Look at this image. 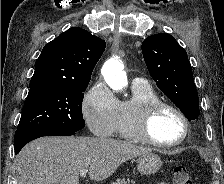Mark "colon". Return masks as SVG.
I'll return each instance as SVG.
<instances>
[{
  "label": "colon",
  "instance_id": "obj_1",
  "mask_svg": "<svg viewBox=\"0 0 224 184\" xmlns=\"http://www.w3.org/2000/svg\"><path fill=\"white\" fill-rule=\"evenodd\" d=\"M174 184H193L192 177L186 166L176 164L172 170Z\"/></svg>",
  "mask_w": 224,
  "mask_h": 184
}]
</instances>
